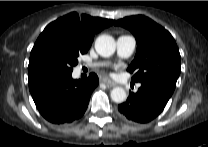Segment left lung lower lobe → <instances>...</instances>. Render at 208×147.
I'll return each mask as SVG.
<instances>
[{
    "label": "left lung lower lobe",
    "instance_id": "obj_1",
    "mask_svg": "<svg viewBox=\"0 0 208 147\" xmlns=\"http://www.w3.org/2000/svg\"><path fill=\"white\" fill-rule=\"evenodd\" d=\"M174 87L160 80L141 82L136 93L118 106L121 116L129 121L147 123L157 117L173 94Z\"/></svg>",
    "mask_w": 208,
    "mask_h": 147
}]
</instances>
